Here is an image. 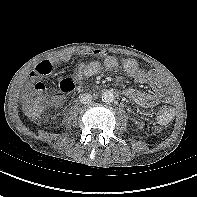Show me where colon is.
Instances as JSON below:
<instances>
[{
  "label": "colon",
  "mask_w": 197,
  "mask_h": 197,
  "mask_svg": "<svg viewBox=\"0 0 197 197\" xmlns=\"http://www.w3.org/2000/svg\"><path fill=\"white\" fill-rule=\"evenodd\" d=\"M75 83L72 79H64L59 84V92L54 101L62 95L69 94L74 90ZM47 89L43 82H37L33 89L30 90L23 98L22 107L25 113L31 118H37L42 113L45 103ZM174 116V110L169 106L160 108L157 119L161 124H168Z\"/></svg>",
  "instance_id": "obj_1"
}]
</instances>
